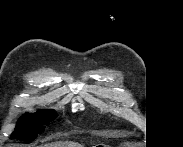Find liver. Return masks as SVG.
Instances as JSON below:
<instances>
[{
  "instance_id": "1",
  "label": "liver",
  "mask_w": 183,
  "mask_h": 147,
  "mask_svg": "<svg viewBox=\"0 0 183 147\" xmlns=\"http://www.w3.org/2000/svg\"><path fill=\"white\" fill-rule=\"evenodd\" d=\"M49 147H82V145L75 142H58L50 144Z\"/></svg>"
}]
</instances>
